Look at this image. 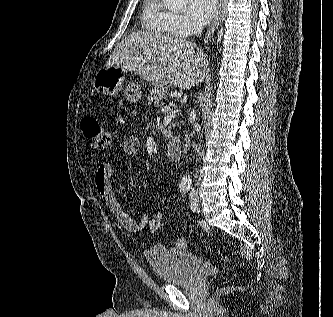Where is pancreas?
<instances>
[{
	"instance_id": "obj_1",
	"label": "pancreas",
	"mask_w": 333,
	"mask_h": 317,
	"mask_svg": "<svg viewBox=\"0 0 333 317\" xmlns=\"http://www.w3.org/2000/svg\"><path fill=\"white\" fill-rule=\"evenodd\" d=\"M168 98V91L167 88H155L150 91V95L148 96V103H155L156 107H159L161 103H163ZM175 125L172 124L165 135L166 139L172 138L171 129Z\"/></svg>"
}]
</instances>
